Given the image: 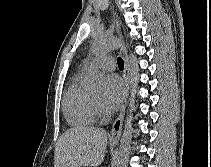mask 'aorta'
I'll return each mask as SVG.
<instances>
[{
	"instance_id": "1",
	"label": "aorta",
	"mask_w": 211,
	"mask_h": 167,
	"mask_svg": "<svg viewBox=\"0 0 211 167\" xmlns=\"http://www.w3.org/2000/svg\"><path fill=\"white\" fill-rule=\"evenodd\" d=\"M119 47L120 43L115 37L102 35L95 40L91 51L95 56H101L108 52L114 51ZM127 60L131 79V95L129 98L130 110L129 115L126 119V124L114 167H126L131 150L132 121L133 111L135 110V98L138 88L139 66L134 55H129ZM91 84L95 89H101L106 84L105 75L96 70L92 75Z\"/></svg>"
}]
</instances>
